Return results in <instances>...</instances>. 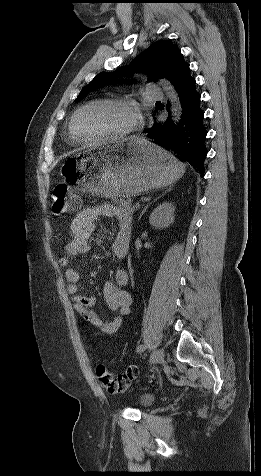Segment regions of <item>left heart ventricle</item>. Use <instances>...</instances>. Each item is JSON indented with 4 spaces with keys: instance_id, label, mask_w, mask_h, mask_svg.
I'll return each instance as SVG.
<instances>
[{
    "instance_id": "left-heart-ventricle-1",
    "label": "left heart ventricle",
    "mask_w": 261,
    "mask_h": 476,
    "mask_svg": "<svg viewBox=\"0 0 261 476\" xmlns=\"http://www.w3.org/2000/svg\"><path fill=\"white\" fill-rule=\"evenodd\" d=\"M134 121L133 113L114 104H97L86 108L77 119V130L86 139H94L127 129Z\"/></svg>"
}]
</instances>
